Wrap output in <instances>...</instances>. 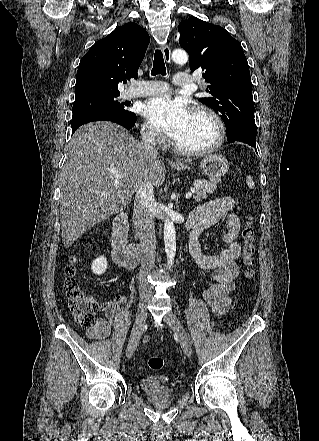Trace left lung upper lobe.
I'll list each match as a JSON object with an SVG mask.
<instances>
[{
  "label": "left lung upper lobe",
  "mask_w": 319,
  "mask_h": 441,
  "mask_svg": "<svg viewBox=\"0 0 319 441\" xmlns=\"http://www.w3.org/2000/svg\"><path fill=\"white\" fill-rule=\"evenodd\" d=\"M178 28L191 70H204L205 91L211 96L199 101L220 115L227 137L244 130L257 134L249 66L241 44L223 27L196 17L183 20Z\"/></svg>",
  "instance_id": "5c2ea615"
}]
</instances>
